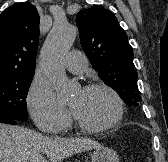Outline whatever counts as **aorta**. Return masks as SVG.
Returning <instances> with one entry per match:
<instances>
[{"label": "aorta", "instance_id": "obj_1", "mask_svg": "<svg viewBox=\"0 0 168 162\" xmlns=\"http://www.w3.org/2000/svg\"><path fill=\"white\" fill-rule=\"evenodd\" d=\"M76 35L75 26L67 22H56L40 52L42 68L58 97L63 100L71 98L75 92L74 84L66 76L63 59L71 49Z\"/></svg>", "mask_w": 168, "mask_h": 162}]
</instances>
